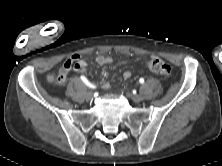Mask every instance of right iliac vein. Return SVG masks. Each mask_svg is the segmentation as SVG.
<instances>
[{"mask_svg":"<svg viewBox=\"0 0 222 166\" xmlns=\"http://www.w3.org/2000/svg\"><path fill=\"white\" fill-rule=\"evenodd\" d=\"M86 99H87V100H92V99H93V93H92V91H88V92L86 93Z\"/></svg>","mask_w":222,"mask_h":166,"instance_id":"obj_1","label":"right iliac vein"}]
</instances>
